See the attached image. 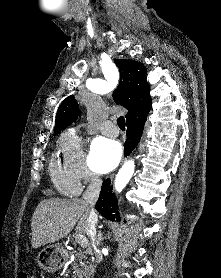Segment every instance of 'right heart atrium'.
<instances>
[{"instance_id": "d8ad5b80", "label": "right heart atrium", "mask_w": 221, "mask_h": 278, "mask_svg": "<svg viewBox=\"0 0 221 278\" xmlns=\"http://www.w3.org/2000/svg\"><path fill=\"white\" fill-rule=\"evenodd\" d=\"M63 161L78 182H91L96 179L84 144L76 131L65 133L61 140Z\"/></svg>"}]
</instances>
